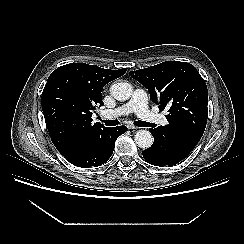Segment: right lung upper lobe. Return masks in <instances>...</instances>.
I'll use <instances>...</instances> for the list:
<instances>
[{"label": "right lung upper lobe", "instance_id": "cb5924a9", "mask_svg": "<svg viewBox=\"0 0 244 244\" xmlns=\"http://www.w3.org/2000/svg\"><path fill=\"white\" fill-rule=\"evenodd\" d=\"M125 72L126 68L71 63L51 73L41 104L51 140L60 153L74 144L95 140L108 129L100 123L91 124L92 111L102 105L103 87Z\"/></svg>", "mask_w": 244, "mask_h": 244}]
</instances>
